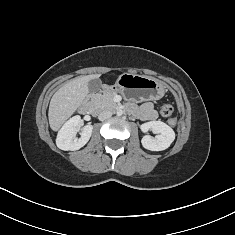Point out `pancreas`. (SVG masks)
<instances>
[{"instance_id": "1", "label": "pancreas", "mask_w": 235, "mask_h": 235, "mask_svg": "<svg viewBox=\"0 0 235 235\" xmlns=\"http://www.w3.org/2000/svg\"><path fill=\"white\" fill-rule=\"evenodd\" d=\"M115 95L116 92L114 91H104L103 94H95L92 99L98 108L115 109L118 107L117 103L114 101Z\"/></svg>"}]
</instances>
